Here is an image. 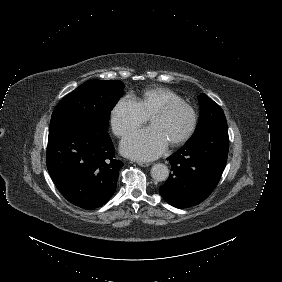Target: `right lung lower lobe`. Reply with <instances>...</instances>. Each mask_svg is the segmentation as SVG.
<instances>
[{"label":"right lung lower lobe","instance_id":"1","mask_svg":"<svg viewBox=\"0 0 282 282\" xmlns=\"http://www.w3.org/2000/svg\"><path fill=\"white\" fill-rule=\"evenodd\" d=\"M114 152L107 132L74 121L49 131L47 168L69 202L93 210L115 192L123 163L115 159Z\"/></svg>","mask_w":282,"mask_h":282}]
</instances>
